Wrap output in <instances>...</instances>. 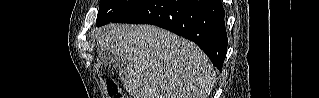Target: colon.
Segmentation results:
<instances>
[{
    "label": "colon",
    "mask_w": 319,
    "mask_h": 98,
    "mask_svg": "<svg viewBox=\"0 0 319 98\" xmlns=\"http://www.w3.org/2000/svg\"><path fill=\"white\" fill-rule=\"evenodd\" d=\"M106 90L109 98H126L119 85L113 80L106 81Z\"/></svg>",
    "instance_id": "obj_1"
}]
</instances>
